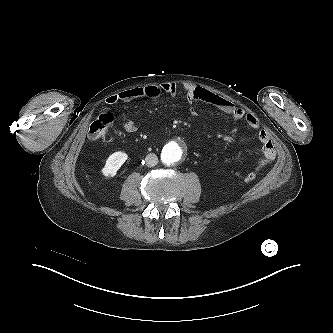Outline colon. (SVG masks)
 I'll return each mask as SVG.
<instances>
[{"label": "colon", "instance_id": "obj_1", "mask_svg": "<svg viewBox=\"0 0 333 333\" xmlns=\"http://www.w3.org/2000/svg\"><path fill=\"white\" fill-rule=\"evenodd\" d=\"M113 122V114L110 110H102L97 118L92 122L89 129V136L92 140H98L104 137L109 131L111 124ZM256 179V174L250 172L246 175L247 181H254Z\"/></svg>", "mask_w": 333, "mask_h": 333}]
</instances>
